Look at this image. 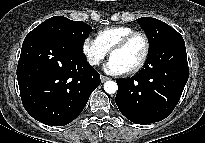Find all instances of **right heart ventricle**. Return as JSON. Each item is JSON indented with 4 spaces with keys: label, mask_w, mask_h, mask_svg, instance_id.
<instances>
[{
    "label": "right heart ventricle",
    "mask_w": 205,
    "mask_h": 143,
    "mask_svg": "<svg viewBox=\"0 0 205 143\" xmlns=\"http://www.w3.org/2000/svg\"><path fill=\"white\" fill-rule=\"evenodd\" d=\"M134 31L135 29L129 26H112L100 30L97 33V40L110 51L117 42Z\"/></svg>",
    "instance_id": "1"
}]
</instances>
